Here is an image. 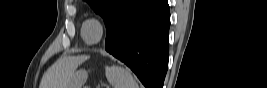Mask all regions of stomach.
Segmentation results:
<instances>
[{"label": "stomach", "mask_w": 267, "mask_h": 88, "mask_svg": "<svg viewBox=\"0 0 267 88\" xmlns=\"http://www.w3.org/2000/svg\"><path fill=\"white\" fill-rule=\"evenodd\" d=\"M87 79V72L85 70L77 71L66 88H82Z\"/></svg>", "instance_id": "1"}]
</instances>
